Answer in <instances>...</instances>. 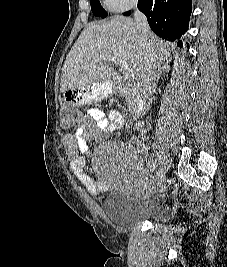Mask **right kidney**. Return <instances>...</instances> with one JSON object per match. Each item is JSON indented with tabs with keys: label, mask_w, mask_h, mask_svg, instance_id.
Wrapping results in <instances>:
<instances>
[{
	"label": "right kidney",
	"mask_w": 227,
	"mask_h": 267,
	"mask_svg": "<svg viewBox=\"0 0 227 267\" xmlns=\"http://www.w3.org/2000/svg\"><path fill=\"white\" fill-rule=\"evenodd\" d=\"M140 127H142V123H138V124L136 125V127H135V130H136V129L139 130Z\"/></svg>",
	"instance_id": "1"
}]
</instances>
